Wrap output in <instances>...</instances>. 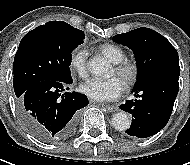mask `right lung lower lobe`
Returning <instances> with one entry per match:
<instances>
[{"mask_svg": "<svg viewBox=\"0 0 190 165\" xmlns=\"http://www.w3.org/2000/svg\"><path fill=\"white\" fill-rule=\"evenodd\" d=\"M71 83L72 79L40 81L30 86L17 100L23 124L39 140L50 142L73 132L79 109L87 106L88 100L77 92L61 94L64 86Z\"/></svg>", "mask_w": 190, "mask_h": 165, "instance_id": "98d812e1", "label": "right lung lower lobe"}]
</instances>
